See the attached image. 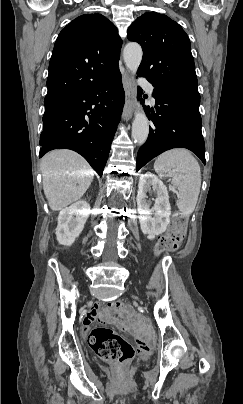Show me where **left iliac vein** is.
<instances>
[{"label":"left iliac vein","instance_id":"left-iliac-vein-1","mask_svg":"<svg viewBox=\"0 0 243 404\" xmlns=\"http://www.w3.org/2000/svg\"><path fill=\"white\" fill-rule=\"evenodd\" d=\"M135 299H138V297L134 296Z\"/></svg>","mask_w":243,"mask_h":404}]
</instances>
